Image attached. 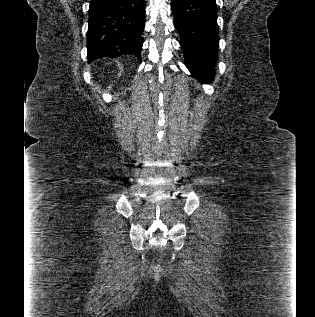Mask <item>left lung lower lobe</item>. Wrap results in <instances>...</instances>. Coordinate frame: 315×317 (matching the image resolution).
<instances>
[{"label": "left lung lower lobe", "mask_w": 315, "mask_h": 317, "mask_svg": "<svg viewBox=\"0 0 315 317\" xmlns=\"http://www.w3.org/2000/svg\"><path fill=\"white\" fill-rule=\"evenodd\" d=\"M172 11L185 65L193 77L210 83L219 46L216 0H172Z\"/></svg>", "instance_id": "1"}]
</instances>
